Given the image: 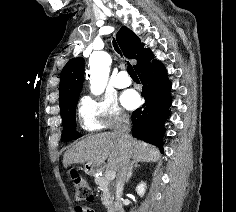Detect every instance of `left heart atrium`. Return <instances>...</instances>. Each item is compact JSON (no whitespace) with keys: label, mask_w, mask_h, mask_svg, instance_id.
Instances as JSON below:
<instances>
[{"label":"left heart atrium","mask_w":236,"mask_h":212,"mask_svg":"<svg viewBox=\"0 0 236 212\" xmlns=\"http://www.w3.org/2000/svg\"><path fill=\"white\" fill-rule=\"evenodd\" d=\"M121 101L127 109H134L138 106L140 97L136 91L128 90L122 95Z\"/></svg>","instance_id":"39dd6f15"}]
</instances>
